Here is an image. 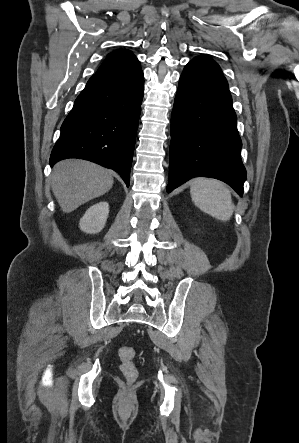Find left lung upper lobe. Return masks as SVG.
<instances>
[{
	"instance_id": "1",
	"label": "left lung upper lobe",
	"mask_w": 299,
	"mask_h": 443,
	"mask_svg": "<svg viewBox=\"0 0 299 443\" xmlns=\"http://www.w3.org/2000/svg\"><path fill=\"white\" fill-rule=\"evenodd\" d=\"M189 63L195 64V65L201 66L203 68H206V69H209L214 72L222 74V71H221V68L219 67V65L214 60H212L210 57L197 56Z\"/></svg>"
}]
</instances>
